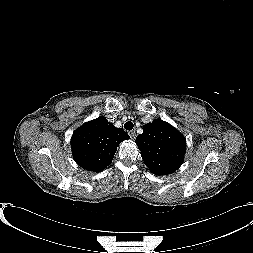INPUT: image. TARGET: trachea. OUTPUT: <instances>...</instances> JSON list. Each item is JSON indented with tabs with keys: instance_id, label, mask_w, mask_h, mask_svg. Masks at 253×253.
Listing matches in <instances>:
<instances>
[{
	"instance_id": "trachea-1",
	"label": "trachea",
	"mask_w": 253,
	"mask_h": 253,
	"mask_svg": "<svg viewBox=\"0 0 253 253\" xmlns=\"http://www.w3.org/2000/svg\"><path fill=\"white\" fill-rule=\"evenodd\" d=\"M133 127H134V125H133V123L131 122V121H128V122H126L125 124H124V128L126 129V130H132L133 129Z\"/></svg>"
}]
</instances>
